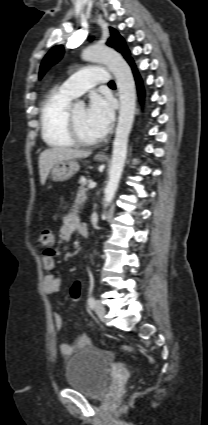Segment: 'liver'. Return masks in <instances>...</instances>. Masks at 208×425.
Returning a JSON list of instances; mask_svg holds the SVG:
<instances>
[{
	"instance_id": "liver-1",
	"label": "liver",
	"mask_w": 208,
	"mask_h": 425,
	"mask_svg": "<svg viewBox=\"0 0 208 425\" xmlns=\"http://www.w3.org/2000/svg\"><path fill=\"white\" fill-rule=\"evenodd\" d=\"M90 155L91 151L65 147H53L44 150L39 156V173L41 184H45L49 172L56 163L64 160L86 158Z\"/></svg>"
}]
</instances>
